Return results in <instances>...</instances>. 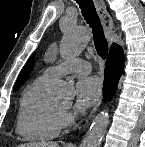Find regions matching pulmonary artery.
Here are the masks:
<instances>
[{"instance_id": "pulmonary-artery-1", "label": "pulmonary artery", "mask_w": 145, "mask_h": 147, "mask_svg": "<svg viewBox=\"0 0 145 147\" xmlns=\"http://www.w3.org/2000/svg\"><path fill=\"white\" fill-rule=\"evenodd\" d=\"M90 70L91 65L89 62L81 58H72L46 68L43 74L54 80L68 73H88Z\"/></svg>"}]
</instances>
